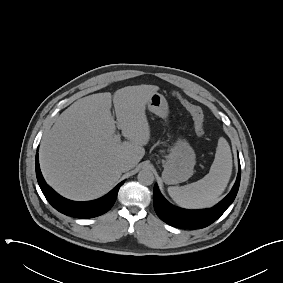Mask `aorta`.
Here are the masks:
<instances>
[{"mask_svg": "<svg viewBox=\"0 0 283 283\" xmlns=\"http://www.w3.org/2000/svg\"><path fill=\"white\" fill-rule=\"evenodd\" d=\"M138 181L143 185H151L154 182V174L149 169H142L138 173Z\"/></svg>", "mask_w": 283, "mask_h": 283, "instance_id": "762f6f07", "label": "aorta"}]
</instances>
